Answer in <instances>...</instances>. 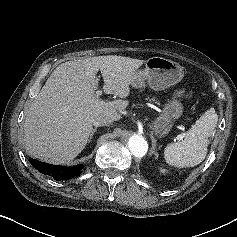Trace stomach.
Segmentation results:
<instances>
[{"label":"stomach","mask_w":237,"mask_h":237,"mask_svg":"<svg viewBox=\"0 0 237 237\" xmlns=\"http://www.w3.org/2000/svg\"><path fill=\"white\" fill-rule=\"evenodd\" d=\"M183 77V68L178 63L155 56L146 61L144 70L134 73L131 86L140 89L146 81L153 90H164L179 83ZM183 93V90L177 91L174 98L164 106L162 113L152 121L153 132L158 137L166 136L174 122L182 116L184 107L180 98Z\"/></svg>","instance_id":"stomach-1"}]
</instances>
